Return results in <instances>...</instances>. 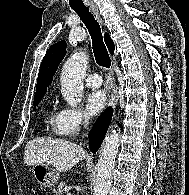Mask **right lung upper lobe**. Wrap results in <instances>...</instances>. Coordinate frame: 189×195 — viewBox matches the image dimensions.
Here are the masks:
<instances>
[{
  "label": "right lung upper lobe",
  "mask_w": 189,
  "mask_h": 195,
  "mask_svg": "<svg viewBox=\"0 0 189 195\" xmlns=\"http://www.w3.org/2000/svg\"><path fill=\"white\" fill-rule=\"evenodd\" d=\"M105 43L109 52L113 54L115 46L108 33L104 35ZM66 54V42L60 41L52 45L43 58L38 74L36 92L34 101L41 100L47 91V87L51 84L53 76L58 69V65Z\"/></svg>",
  "instance_id": "1"
}]
</instances>
